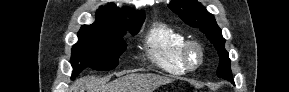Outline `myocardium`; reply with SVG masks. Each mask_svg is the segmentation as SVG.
Listing matches in <instances>:
<instances>
[{
	"mask_svg": "<svg viewBox=\"0 0 289 92\" xmlns=\"http://www.w3.org/2000/svg\"><path fill=\"white\" fill-rule=\"evenodd\" d=\"M197 56L196 61L192 60V54ZM182 62L186 70L194 71L198 69L204 60V50L202 45L195 40H187L182 48Z\"/></svg>",
	"mask_w": 289,
	"mask_h": 92,
	"instance_id": "f54148a6",
	"label": "myocardium"
}]
</instances>
